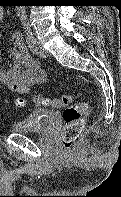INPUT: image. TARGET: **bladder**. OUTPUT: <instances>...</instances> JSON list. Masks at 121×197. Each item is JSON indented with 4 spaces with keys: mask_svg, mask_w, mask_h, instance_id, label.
<instances>
[{
    "mask_svg": "<svg viewBox=\"0 0 121 197\" xmlns=\"http://www.w3.org/2000/svg\"><path fill=\"white\" fill-rule=\"evenodd\" d=\"M54 123V114L49 110H39L11 125L14 133H46Z\"/></svg>",
    "mask_w": 121,
    "mask_h": 197,
    "instance_id": "obj_1",
    "label": "bladder"
}]
</instances>
